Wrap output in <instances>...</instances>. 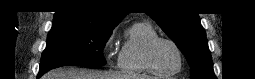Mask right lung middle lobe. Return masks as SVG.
<instances>
[{"label":"right lung middle lobe","mask_w":255,"mask_h":79,"mask_svg":"<svg viewBox=\"0 0 255 79\" xmlns=\"http://www.w3.org/2000/svg\"><path fill=\"white\" fill-rule=\"evenodd\" d=\"M111 30L53 25L42 54L39 75L64 65L97 68L106 64L103 48Z\"/></svg>","instance_id":"obj_1"}]
</instances>
